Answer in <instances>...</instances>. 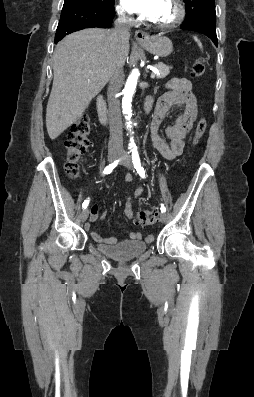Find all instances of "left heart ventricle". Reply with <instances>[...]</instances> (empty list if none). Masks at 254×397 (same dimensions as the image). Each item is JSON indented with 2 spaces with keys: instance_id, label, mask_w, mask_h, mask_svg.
Instances as JSON below:
<instances>
[{
  "instance_id": "obj_1",
  "label": "left heart ventricle",
  "mask_w": 254,
  "mask_h": 397,
  "mask_svg": "<svg viewBox=\"0 0 254 397\" xmlns=\"http://www.w3.org/2000/svg\"><path fill=\"white\" fill-rule=\"evenodd\" d=\"M176 11L173 3L168 0L160 12V14L154 19L155 23H166L171 21L175 17Z\"/></svg>"
}]
</instances>
